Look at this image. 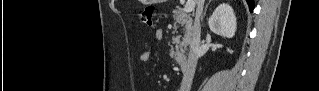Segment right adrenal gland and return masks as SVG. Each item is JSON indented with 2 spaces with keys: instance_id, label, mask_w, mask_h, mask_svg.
<instances>
[{
  "instance_id": "right-adrenal-gland-1",
  "label": "right adrenal gland",
  "mask_w": 319,
  "mask_h": 91,
  "mask_svg": "<svg viewBox=\"0 0 319 91\" xmlns=\"http://www.w3.org/2000/svg\"><path fill=\"white\" fill-rule=\"evenodd\" d=\"M208 2L210 3L211 0H209ZM209 3H208V4L206 5V7H205L204 13H203L202 18H201L202 21H203V18L205 17V15H206V11H207V8H208Z\"/></svg>"
}]
</instances>
